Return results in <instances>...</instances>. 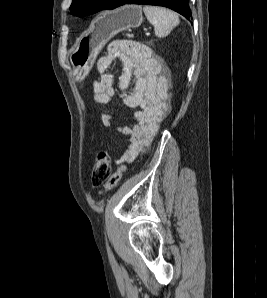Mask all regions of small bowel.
Segmentation results:
<instances>
[{
	"label": "small bowel",
	"instance_id": "1",
	"mask_svg": "<svg viewBox=\"0 0 267 298\" xmlns=\"http://www.w3.org/2000/svg\"><path fill=\"white\" fill-rule=\"evenodd\" d=\"M117 60L122 63L119 75L111 71ZM97 68L100 76L93 83L94 102L102 105L111 103L117 85L124 105L138 109L133 124L117 126L119 132L129 136L127 149L118 163L131 162L150 144L170 110V72L149 48L125 40L112 42L107 53L98 60ZM132 80L134 91L129 92ZM101 120L106 127H112L117 118L104 113Z\"/></svg>",
	"mask_w": 267,
	"mask_h": 298
}]
</instances>
